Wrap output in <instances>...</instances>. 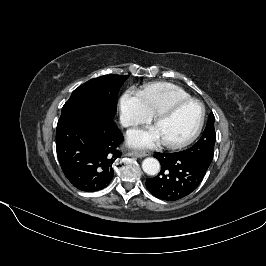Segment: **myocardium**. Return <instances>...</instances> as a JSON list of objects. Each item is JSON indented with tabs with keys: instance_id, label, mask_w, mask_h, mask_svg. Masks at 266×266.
Listing matches in <instances>:
<instances>
[{
	"instance_id": "myocardium-1",
	"label": "myocardium",
	"mask_w": 266,
	"mask_h": 266,
	"mask_svg": "<svg viewBox=\"0 0 266 266\" xmlns=\"http://www.w3.org/2000/svg\"><path fill=\"white\" fill-rule=\"evenodd\" d=\"M189 103H196L200 106L201 117H200L199 123H198L196 129L194 130V132L189 137H187L181 141H177V142H164V145L167 146L168 148H171V149L183 148L185 146H188L189 144H191L193 141L196 140V138L200 135L202 128L204 126V123H205V118H206L205 106L198 99L187 98V99H182V100H179V101L172 103L171 105L167 106L166 108L162 109L161 111L157 112L154 115V124L156 125L161 119L174 114L182 106L187 105Z\"/></svg>"
}]
</instances>
